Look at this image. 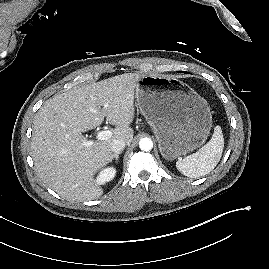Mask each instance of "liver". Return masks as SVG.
<instances>
[{
    "mask_svg": "<svg viewBox=\"0 0 269 269\" xmlns=\"http://www.w3.org/2000/svg\"><path fill=\"white\" fill-rule=\"evenodd\" d=\"M143 76L125 73L110 77L44 103L33 122L31 149L38 175L49 188L72 201L102 195L94 175L111 162L114 140L132 142L134 94ZM104 117L115 125L111 138L87 141L82 133L100 126Z\"/></svg>",
    "mask_w": 269,
    "mask_h": 269,
    "instance_id": "obj_1",
    "label": "liver"
}]
</instances>
